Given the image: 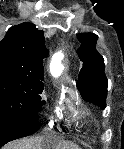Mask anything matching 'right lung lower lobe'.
Segmentation results:
<instances>
[{"label": "right lung lower lobe", "mask_w": 124, "mask_h": 149, "mask_svg": "<svg viewBox=\"0 0 124 149\" xmlns=\"http://www.w3.org/2000/svg\"><path fill=\"white\" fill-rule=\"evenodd\" d=\"M39 127L38 121L24 126L0 127V148L12 140L35 133Z\"/></svg>", "instance_id": "right-lung-lower-lobe-1"}]
</instances>
